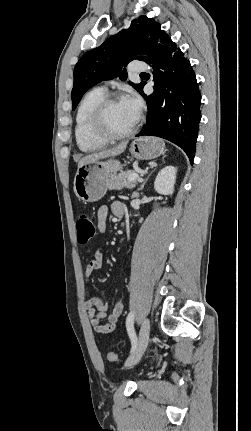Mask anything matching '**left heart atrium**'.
Here are the masks:
<instances>
[{"label":"left heart atrium","instance_id":"1","mask_svg":"<svg viewBox=\"0 0 251 431\" xmlns=\"http://www.w3.org/2000/svg\"><path fill=\"white\" fill-rule=\"evenodd\" d=\"M122 104L125 105L127 108H129L136 117L139 116L141 108H142V102L140 98L135 95L134 93H130L126 95L122 100Z\"/></svg>","mask_w":251,"mask_h":431}]
</instances>
